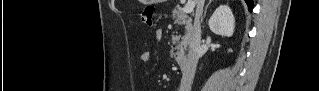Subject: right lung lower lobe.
Instances as JSON below:
<instances>
[{
	"label": "right lung lower lobe",
	"instance_id": "right-lung-lower-lobe-1",
	"mask_svg": "<svg viewBox=\"0 0 319 91\" xmlns=\"http://www.w3.org/2000/svg\"><path fill=\"white\" fill-rule=\"evenodd\" d=\"M249 10L251 11L253 9V1L252 0H245Z\"/></svg>",
	"mask_w": 319,
	"mask_h": 91
}]
</instances>
